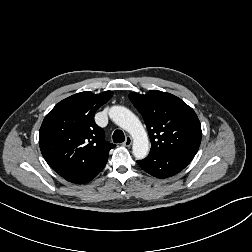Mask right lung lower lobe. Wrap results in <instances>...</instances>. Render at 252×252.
<instances>
[{
    "label": "right lung lower lobe",
    "mask_w": 252,
    "mask_h": 252,
    "mask_svg": "<svg viewBox=\"0 0 252 252\" xmlns=\"http://www.w3.org/2000/svg\"><path fill=\"white\" fill-rule=\"evenodd\" d=\"M106 164L94 166L75 174L69 175L65 177V179L69 182L76 184H84L91 181L94 177H96L105 167Z\"/></svg>",
    "instance_id": "98d812e1"
}]
</instances>
